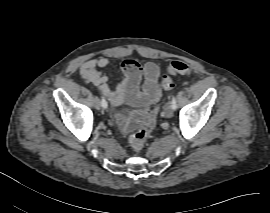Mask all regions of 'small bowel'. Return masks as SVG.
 <instances>
[{
	"mask_svg": "<svg viewBox=\"0 0 270 213\" xmlns=\"http://www.w3.org/2000/svg\"><path fill=\"white\" fill-rule=\"evenodd\" d=\"M109 64L110 59L106 56L89 59L81 65V77L93 84L113 105L126 103L138 106L139 110L132 119V124H134L147 108L158 102L161 96V90L158 86L160 69L154 62H148L141 66L133 59H125L121 63L124 79L115 89H111L108 78L98 70V68H105ZM142 78L144 81L140 86Z\"/></svg>",
	"mask_w": 270,
	"mask_h": 213,
	"instance_id": "c3829d8e",
	"label": "small bowel"
}]
</instances>
